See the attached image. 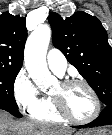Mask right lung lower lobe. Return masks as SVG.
I'll use <instances>...</instances> for the list:
<instances>
[{
    "label": "right lung lower lobe",
    "instance_id": "right-lung-lower-lobe-1",
    "mask_svg": "<svg viewBox=\"0 0 112 135\" xmlns=\"http://www.w3.org/2000/svg\"><path fill=\"white\" fill-rule=\"evenodd\" d=\"M0 109L8 111L9 113H11L12 115L16 116V117H21L22 115L20 114L18 109H11L9 107H4V106H0Z\"/></svg>",
    "mask_w": 112,
    "mask_h": 135
}]
</instances>
